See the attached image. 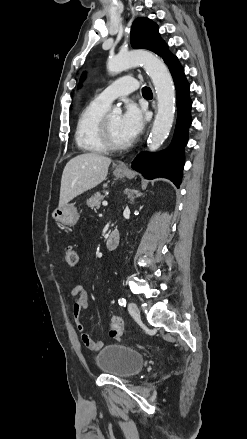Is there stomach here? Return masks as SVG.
Masks as SVG:
<instances>
[{"instance_id":"obj_1","label":"stomach","mask_w":247,"mask_h":439,"mask_svg":"<svg viewBox=\"0 0 247 439\" xmlns=\"http://www.w3.org/2000/svg\"><path fill=\"white\" fill-rule=\"evenodd\" d=\"M126 172V170L115 169L113 174L117 178H122L125 176ZM52 216L56 221L67 226H74L79 219V214L73 204H66L63 207L56 208L52 213Z\"/></svg>"}]
</instances>
